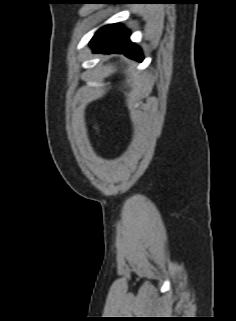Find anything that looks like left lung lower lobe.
<instances>
[{
	"label": "left lung lower lobe",
	"instance_id": "obj_1",
	"mask_svg": "<svg viewBox=\"0 0 236 321\" xmlns=\"http://www.w3.org/2000/svg\"><path fill=\"white\" fill-rule=\"evenodd\" d=\"M129 35L130 32L120 24L107 25L96 32L90 45L95 53H122L141 62V50L129 40Z\"/></svg>",
	"mask_w": 236,
	"mask_h": 321
}]
</instances>
